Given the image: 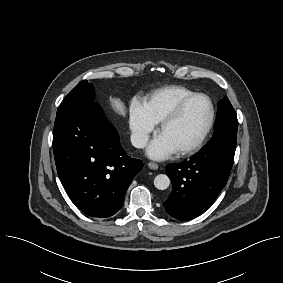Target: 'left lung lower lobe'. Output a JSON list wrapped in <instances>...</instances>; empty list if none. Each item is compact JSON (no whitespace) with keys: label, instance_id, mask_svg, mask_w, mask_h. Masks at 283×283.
Returning <instances> with one entry per match:
<instances>
[{"label":"left lung lower lobe","instance_id":"left-lung-lower-lobe-1","mask_svg":"<svg viewBox=\"0 0 283 283\" xmlns=\"http://www.w3.org/2000/svg\"><path fill=\"white\" fill-rule=\"evenodd\" d=\"M235 152L222 146H204L179 165H167L172 192L163 203L167 213L179 220L195 218L206 211L226 185Z\"/></svg>","mask_w":283,"mask_h":283}]
</instances>
